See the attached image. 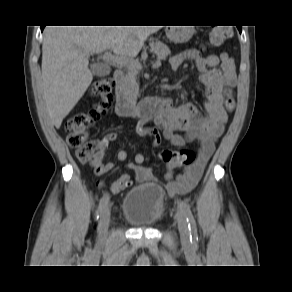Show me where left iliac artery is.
Returning a JSON list of instances; mask_svg holds the SVG:
<instances>
[{
	"label": "left iliac artery",
	"instance_id": "obj_1",
	"mask_svg": "<svg viewBox=\"0 0 292 292\" xmlns=\"http://www.w3.org/2000/svg\"><path fill=\"white\" fill-rule=\"evenodd\" d=\"M179 207L184 212V214L186 216V220H187L188 228H189V232H190V240L197 241L198 240L197 226H196V222H195L193 214L190 210L189 205H187L183 201H179Z\"/></svg>",
	"mask_w": 292,
	"mask_h": 292
}]
</instances>
